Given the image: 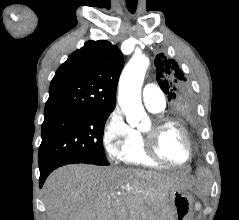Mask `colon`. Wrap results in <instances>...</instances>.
Segmentation results:
<instances>
[{
    "mask_svg": "<svg viewBox=\"0 0 239 220\" xmlns=\"http://www.w3.org/2000/svg\"><path fill=\"white\" fill-rule=\"evenodd\" d=\"M183 219H184V216H180V217H179V220H183Z\"/></svg>",
    "mask_w": 239,
    "mask_h": 220,
    "instance_id": "colon-1",
    "label": "colon"
}]
</instances>
